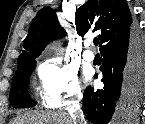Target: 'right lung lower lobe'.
<instances>
[{"instance_id": "98d812e1", "label": "right lung lower lobe", "mask_w": 145, "mask_h": 124, "mask_svg": "<svg viewBox=\"0 0 145 124\" xmlns=\"http://www.w3.org/2000/svg\"><path fill=\"white\" fill-rule=\"evenodd\" d=\"M102 90L88 87L83 109L94 124H108L114 115L131 118L145 94V38L136 26L110 38L100 47Z\"/></svg>"}]
</instances>
